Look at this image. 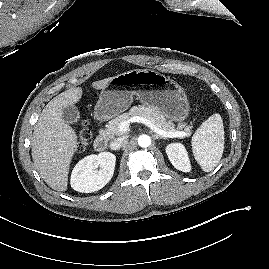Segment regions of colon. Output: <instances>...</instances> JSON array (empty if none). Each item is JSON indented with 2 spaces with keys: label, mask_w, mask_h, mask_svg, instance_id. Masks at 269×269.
<instances>
[{
  "label": "colon",
  "mask_w": 269,
  "mask_h": 269,
  "mask_svg": "<svg viewBox=\"0 0 269 269\" xmlns=\"http://www.w3.org/2000/svg\"><path fill=\"white\" fill-rule=\"evenodd\" d=\"M91 138V131L86 122H82L77 130V149L84 150L88 140Z\"/></svg>",
  "instance_id": "5ec220e1"
}]
</instances>
